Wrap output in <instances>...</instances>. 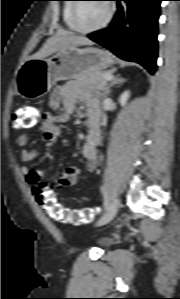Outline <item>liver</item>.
Listing matches in <instances>:
<instances>
[{"mask_svg":"<svg viewBox=\"0 0 180 299\" xmlns=\"http://www.w3.org/2000/svg\"><path fill=\"white\" fill-rule=\"evenodd\" d=\"M93 42L86 37L76 35L70 31L59 29L46 40L41 49L29 59H45L46 57L65 48H75L84 45H92Z\"/></svg>","mask_w":180,"mask_h":299,"instance_id":"liver-1","label":"liver"}]
</instances>
